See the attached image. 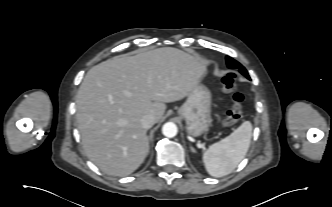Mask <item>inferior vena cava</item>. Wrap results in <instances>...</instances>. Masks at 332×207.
<instances>
[{"label": "inferior vena cava", "mask_w": 332, "mask_h": 207, "mask_svg": "<svg viewBox=\"0 0 332 207\" xmlns=\"http://www.w3.org/2000/svg\"><path fill=\"white\" fill-rule=\"evenodd\" d=\"M155 122H156L155 117L152 114L144 115L141 118V124H142L143 128L146 130L151 128L155 124Z\"/></svg>", "instance_id": "inferior-vena-cava-1"}]
</instances>
